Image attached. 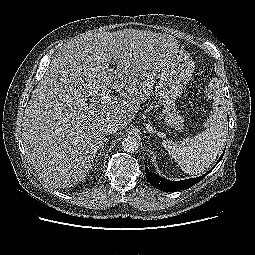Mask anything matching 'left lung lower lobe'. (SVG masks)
<instances>
[{
	"mask_svg": "<svg viewBox=\"0 0 255 255\" xmlns=\"http://www.w3.org/2000/svg\"><path fill=\"white\" fill-rule=\"evenodd\" d=\"M223 155H224V152L221 155L220 159L217 161L216 165L221 161ZM145 172H146V178L152 184V186L165 192H173V191L188 189L192 187L193 185H195L196 183H198L199 181H201L209 173V172L205 173L204 175L197 178H191V179L180 180V181H170L149 171L148 168L146 167H145Z\"/></svg>",
	"mask_w": 255,
	"mask_h": 255,
	"instance_id": "left-lung-lower-lobe-1",
	"label": "left lung lower lobe"
}]
</instances>
